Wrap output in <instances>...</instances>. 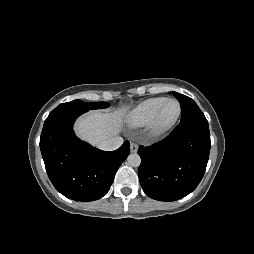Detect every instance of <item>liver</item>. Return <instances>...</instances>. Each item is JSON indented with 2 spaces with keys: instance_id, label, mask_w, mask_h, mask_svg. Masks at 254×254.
Here are the masks:
<instances>
[{
  "instance_id": "obj_1",
  "label": "liver",
  "mask_w": 254,
  "mask_h": 254,
  "mask_svg": "<svg viewBox=\"0 0 254 254\" xmlns=\"http://www.w3.org/2000/svg\"><path fill=\"white\" fill-rule=\"evenodd\" d=\"M129 107H123L112 113L91 111L82 116L75 125L76 134L94 146L116 136L122 129L123 117Z\"/></svg>"
}]
</instances>
